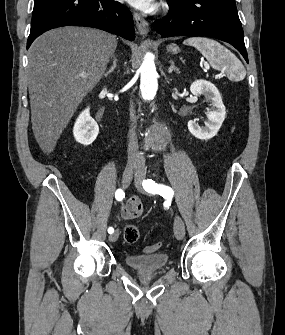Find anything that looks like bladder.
Returning a JSON list of instances; mask_svg holds the SVG:
<instances>
[{"mask_svg":"<svg viewBox=\"0 0 285 335\" xmlns=\"http://www.w3.org/2000/svg\"><path fill=\"white\" fill-rule=\"evenodd\" d=\"M125 265H132V272L151 273L160 272V265H166V258H171L167 251L152 252L149 254H135L127 252Z\"/></svg>","mask_w":285,"mask_h":335,"instance_id":"31cf9c89","label":"bladder"}]
</instances>
